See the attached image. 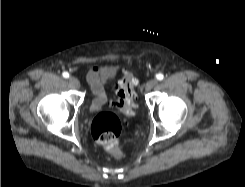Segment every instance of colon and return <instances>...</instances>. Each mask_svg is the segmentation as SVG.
Segmentation results:
<instances>
[{
    "label": "colon",
    "mask_w": 245,
    "mask_h": 187,
    "mask_svg": "<svg viewBox=\"0 0 245 187\" xmlns=\"http://www.w3.org/2000/svg\"><path fill=\"white\" fill-rule=\"evenodd\" d=\"M136 78L130 72H125L119 81L113 105L125 116H132L136 109ZM122 121L115 114L103 112L98 114L91 126L94 139L115 157H121L118 139L122 132Z\"/></svg>",
    "instance_id": "colon-1"
}]
</instances>
